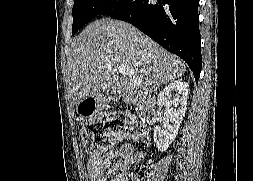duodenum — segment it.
Here are the masks:
<instances>
[{
	"mask_svg": "<svg viewBox=\"0 0 253 181\" xmlns=\"http://www.w3.org/2000/svg\"><path fill=\"white\" fill-rule=\"evenodd\" d=\"M117 93L112 92V96H116ZM155 100L152 97H145L139 102V112L142 119L149 125H153L156 121L155 115Z\"/></svg>",
	"mask_w": 253,
	"mask_h": 181,
	"instance_id": "obj_1",
	"label": "duodenum"
}]
</instances>
